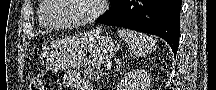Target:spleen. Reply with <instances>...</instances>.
Returning a JSON list of instances; mask_svg holds the SVG:
<instances>
[{
	"instance_id": "1",
	"label": "spleen",
	"mask_w": 216,
	"mask_h": 90,
	"mask_svg": "<svg viewBox=\"0 0 216 90\" xmlns=\"http://www.w3.org/2000/svg\"><path fill=\"white\" fill-rule=\"evenodd\" d=\"M118 34L119 38L128 44L132 54L137 58H145L156 50L155 40L146 34L135 32V30H125V28L118 30Z\"/></svg>"
}]
</instances>
